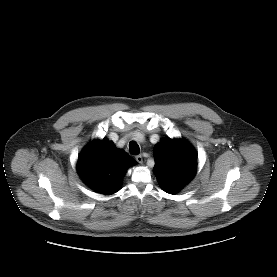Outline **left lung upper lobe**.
Listing matches in <instances>:
<instances>
[{
	"label": "left lung upper lobe",
	"mask_w": 277,
	"mask_h": 277,
	"mask_svg": "<svg viewBox=\"0 0 277 277\" xmlns=\"http://www.w3.org/2000/svg\"><path fill=\"white\" fill-rule=\"evenodd\" d=\"M154 173L164 191L177 193L196 173L197 153L185 140L163 139L154 147Z\"/></svg>",
	"instance_id": "1"
}]
</instances>
